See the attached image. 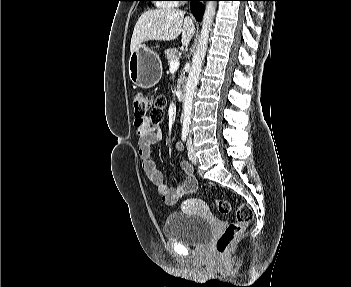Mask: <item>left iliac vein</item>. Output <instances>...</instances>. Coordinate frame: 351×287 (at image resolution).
Returning <instances> with one entry per match:
<instances>
[{
  "label": "left iliac vein",
  "instance_id": "4c4485c4",
  "mask_svg": "<svg viewBox=\"0 0 351 287\" xmlns=\"http://www.w3.org/2000/svg\"><path fill=\"white\" fill-rule=\"evenodd\" d=\"M187 145H188L187 149H188L189 160L192 163L196 164L198 162V158H197V156L195 154V150H194L193 145H192V138L191 137H189Z\"/></svg>",
  "mask_w": 351,
  "mask_h": 287
}]
</instances>
